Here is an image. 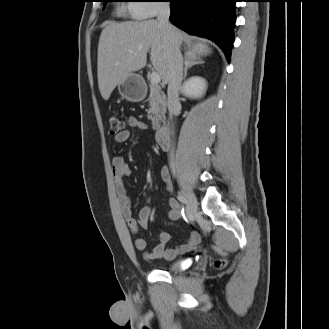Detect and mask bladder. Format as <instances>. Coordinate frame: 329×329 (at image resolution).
<instances>
[{"label": "bladder", "instance_id": "bladder-1", "mask_svg": "<svg viewBox=\"0 0 329 329\" xmlns=\"http://www.w3.org/2000/svg\"><path fill=\"white\" fill-rule=\"evenodd\" d=\"M185 262L186 260L183 259L172 260L165 265L164 270L171 273L178 272L184 267Z\"/></svg>", "mask_w": 329, "mask_h": 329}]
</instances>
